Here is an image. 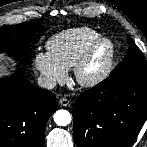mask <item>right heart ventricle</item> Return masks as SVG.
<instances>
[{
    "label": "right heart ventricle",
    "mask_w": 147,
    "mask_h": 147,
    "mask_svg": "<svg viewBox=\"0 0 147 147\" xmlns=\"http://www.w3.org/2000/svg\"><path fill=\"white\" fill-rule=\"evenodd\" d=\"M99 36L89 27H78L62 31L51 37L47 43V52L66 69L75 66L87 46Z\"/></svg>",
    "instance_id": "obj_1"
}]
</instances>
